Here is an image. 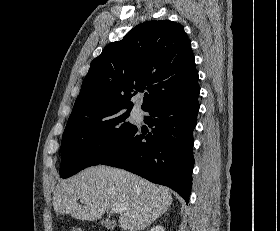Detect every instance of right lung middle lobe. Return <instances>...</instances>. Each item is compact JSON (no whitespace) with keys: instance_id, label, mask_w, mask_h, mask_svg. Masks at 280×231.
<instances>
[{"instance_id":"1","label":"right lung middle lobe","mask_w":280,"mask_h":231,"mask_svg":"<svg viewBox=\"0 0 280 231\" xmlns=\"http://www.w3.org/2000/svg\"><path fill=\"white\" fill-rule=\"evenodd\" d=\"M129 112L68 120L62 136L60 177H70L104 161L136 128L126 120Z\"/></svg>"}]
</instances>
